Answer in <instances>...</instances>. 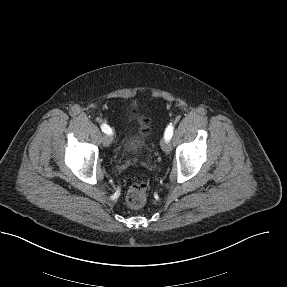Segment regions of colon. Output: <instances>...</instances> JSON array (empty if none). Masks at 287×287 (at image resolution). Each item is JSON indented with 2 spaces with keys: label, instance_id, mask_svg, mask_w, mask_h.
I'll use <instances>...</instances> for the list:
<instances>
[{
  "label": "colon",
  "instance_id": "obj_1",
  "mask_svg": "<svg viewBox=\"0 0 287 287\" xmlns=\"http://www.w3.org/2000/svg\"><path fill=\"white\" fill-rule=\"evenodd\" d=\"M141 132L143 135L147 134L149 131V122L145 118L140 119ZM148 186L144 181L136 180L133 181L127 191L126 201L128 205L132 208L141 207L147 197Z\"/></svg>",
  "mask_w": 287,
  "mask_h": 287
}]
</instances>
